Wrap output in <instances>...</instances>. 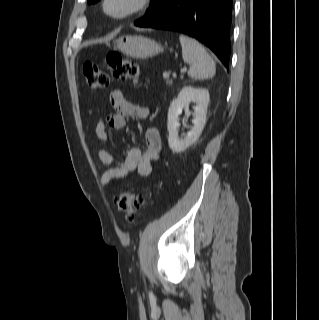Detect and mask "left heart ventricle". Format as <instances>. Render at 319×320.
I'll return each mask as SVG.
<instances>
[{
	"label": "left heart ventricle",
	"instance_id": "obj_1",
	"mask_svg": "<svg viewBox=\"0 0 319 320\" xmlns=\"http://www.w3.org/2000/svg\"><path fill=\"white\" fill-rule=\"evenodd\" d=\"M127 6H128L127 0H113L109 4V9L114 12L119 13V12L123 11Z\"/></svg>",
	"mask_w": 319,
	"mask_h": 320
}]
</instances>
